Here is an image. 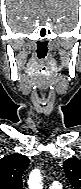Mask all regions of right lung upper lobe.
Here are the masks:
<instances>
[{"label": "right lung upper lobe", "mask_w": 81, "mask_h": 189, "mask_svg": "<svg viewBox=\"0 0 81 189\" xmlns=\"http://www.w3.org/2000/svg\"><path fill=\"white\" fill-rule=\"evenodd\" d=\"M28 165V157L19 153L0 159V189H22L21 177Z\"/></svg>", "instance_id": "cb5924a9"}]
</instances>
